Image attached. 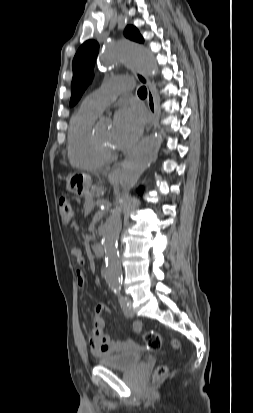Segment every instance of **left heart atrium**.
Returning a JSON list of instances; mask_svg holds the SVG:
<instances>
[{"instance_id": "39dd6f15", "label": "left heart atrium", "mask_w": 253, "mask_h": 413, "mask_svg": "<svg viewBox=\"0 0 253 413\" xmlns=\"http://www.w3.org/2000/svg\"><path fill=\"white\" fill-rule=\"evenodd\" d=\"M143 125L144 116L138 107H121L114 118L113 143L119 148L131 145L141 134Z\"/></svg>"}]
</instances>
